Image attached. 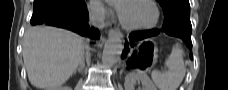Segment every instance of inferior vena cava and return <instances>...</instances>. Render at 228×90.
Returning <instances> with one entry per match:
<instances>
[{
    "label": "inferior vena cava",
    "mask_w": 228,
    "mask_h": 90,
    "mask_svg": "<svg viewBox=\"0 0 228 90\" xmlns=\"http://www.w3.org/2000/svg\"><path fill=\"white\" fill-rule=\"evenodd\" d=\"M104 19H105L104 9L101 6L93 5L90 7L89 23L92 26L102 29L104 27ZM83 63H84V60L82 59L80 61V65H82Z\"/></svg>",
    "instance_id": "obj_1"
}]
</instances>
